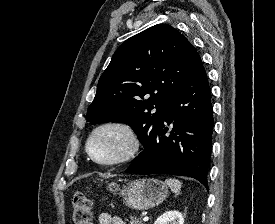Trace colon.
I'll use <instances>...</instances> for the list:
<instances>
[{
	"label": "colon",
	"instance_id": "1",
	"mask_svg": "<svg viewBox=\"0 0 275 224\" xmlns=\"http://www.w3.org/2000/svg\"><path fill=\"white\" fill-rule=\"evenodd\" d=\"M117 185L112 184L111 190L117 191ZM92 203L82 193H75L72 196V221L74 224H91Z\"/></svg>",
	"mask_w": 275,
	"mask_h": 224
}]
</instances>
